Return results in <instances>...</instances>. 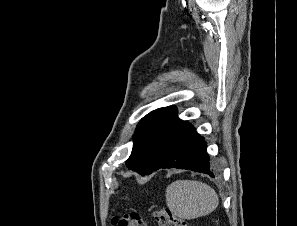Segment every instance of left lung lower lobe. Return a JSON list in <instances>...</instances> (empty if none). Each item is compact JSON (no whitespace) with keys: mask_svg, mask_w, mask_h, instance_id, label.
Listing matches in <instances>:
<instances>
[{"mask_svg":"<svg viewBox=\"0 0 297 226\" xmlns=\"http://www.w3.org/2000/svg\"><path fill=\"white\" fill-rule=\"evenodd\" d=\"M206 147L204 138L194 130L189 122L185 121L150 173L160 168H179L215 177Z\"/></svg>","mask_w":297,"mask_h":226,"instance_id":"1","label":"left lung lower lobe"}]
</instances>
